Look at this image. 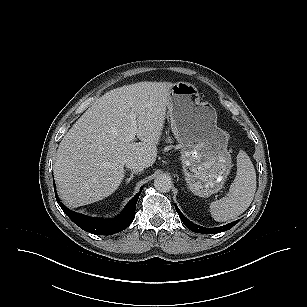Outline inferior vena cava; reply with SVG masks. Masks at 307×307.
<instances>
[{"mask_svg": "<svg viewBox=\"0 0 307 307\" xmlns=\"http://www.w3.org/2000/svg\"><path fill=\"white\" fill-rule=\"evenodd\" d=\"M126 168L130 169L131 171L140 172L145 168L143 162L135 159H129L125 162Z\"/></svg>", "mask_w": 307, "mask_h": 307, "instance_id": "1", "label": "inferior vena cava"}]
</instances>
